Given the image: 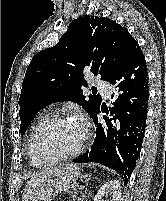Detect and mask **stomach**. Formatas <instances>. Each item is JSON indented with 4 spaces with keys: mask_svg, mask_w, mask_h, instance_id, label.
<instances>
[{
    "mask_svg": "<svg viewBox=\"0 0 166 201\" xmlns=\"http://www.w3.org/2000/svg\"><path fill=\"white\" fill-rule=\"evenodd\" d=\"M79 174V168L75 165L57 169L33 191L32 199L29 201H51L54 196L74 182Z\"/></svg>",
    "mask_w": 166,
    "mask_h": 201,
    "instance_id": "0dacf381",
    "label": "stomach"
}]
</instances>
